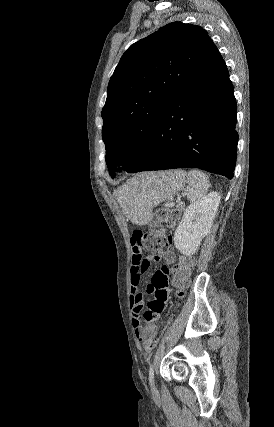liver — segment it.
Segmentation results:
<instances>
[{"label":"liver","mask_w":274,"mask_h":427,"mask_svg":"<svg viewBox=\"0 0 274 427\" xmlns=\"http://www.w3.org/2000/svg\"><path fill=\"white\" fill-rule=\"evenodd\" d=\"M117 198H118V202H119V204H120L121 208H123L124 212H126V210H125V206H124V204H122V202H121V198H122V196H120V194H119V190H118V192H117Z\"/></svg>","instance_id":"obj_1"}]
</instances>
